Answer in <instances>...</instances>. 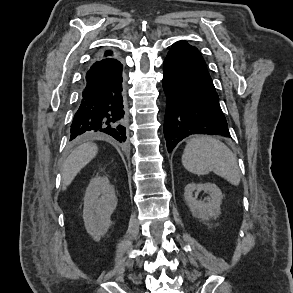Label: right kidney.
Returning <instances> with one entry per match:
<instances>
[{"label":"right kidney","instance_id":"right-kidney-1","mask_svg":"<svg viewBox=\"0 0 293 293\" xmlns=\"http://www.w3.org/2000/svg\"><path fill=\"white\" fill-rule=\"evenodd\" d=\"M116 206L117 197L108 178H93L84 197L83 220L87 232L94 240H100L108 231Z\"/></svg>","mask_w":293,"mask_h":293}]
</instances>
